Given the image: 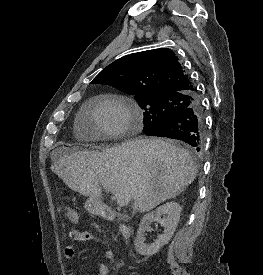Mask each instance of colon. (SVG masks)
<instances>
[{
    "mask_svg": "<svg viewBox=\"0 0 263 275\" xmlns=\"http://www.w3.org/2000/svg\"><path fill=\"white\" fill-rule=\"evenodd\" d=\"M65 216L71 223H76L79 220L78 212L71 207L65 208Z\"/></svg>",
    "mask_w": 263,
    "mask_h": 275,
    "instance_id": "1",
    "label": "colon"
}]
</instances>
